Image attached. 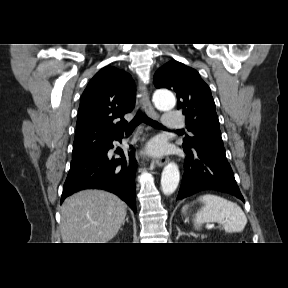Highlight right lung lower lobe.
Segmentation results:
<instances>
[{
    "label": "right lung lower lobe",
    "instance_id": "right-lung-lower-lobe-1",
    "mask_svg": "<svg viewBox=\"0 0 288 288\" xmlns=\"http://www.w3.org/2000/svg\"><path fill=\"white\" fill-rule=\"evenodd\" d=\"M122 135L72 160L63 186L61 202L66 197L83 189H105L118 195L136 212L135 172L137 162L133 157L134 149L128 152V158L119 148L115 152L121 155V158L110 159L108 157V151L113 148V140L121 141Z\"/></svg>",
    "mask_w": 288,
    "mask_h": 288
}]
</instances>
